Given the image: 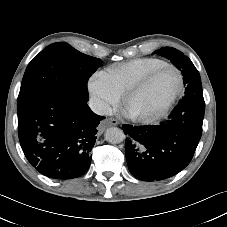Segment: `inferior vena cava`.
<instances>
[{
	"label": "inferior vena cava",
	"instance_id": "602c4592",
	"mask_svg": "<svg viewBox=\"0 0 227 227\" xmlns=\"http://www.w3.org/2000/svg\"><path fill=\"white\" fill-rule=\"evenodd\" d=\"M88 105L98 115H108L111 112V107L105 101L96 97L91 98Z\"/></svg>",
	"mask_w": 227,
	"mask_h": 227
}]
</instances>
